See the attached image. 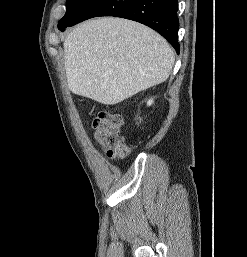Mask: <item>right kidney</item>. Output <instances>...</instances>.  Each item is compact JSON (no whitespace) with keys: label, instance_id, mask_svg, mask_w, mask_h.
<instances>
[{"label":"right kidney","instance_id":"obj_1","mask_svg":"<svg viewBox=\"0 0 247 257\" xmlns=\"http://www.w3.org/2000/svg\"><path fill=\"white\" fill-rule=\"evenodd\" d=\"M153 103V99L148 100L147 105L150 106Z\"/></svg>","mask_w":247,"mask_h":257}]
</instances>
